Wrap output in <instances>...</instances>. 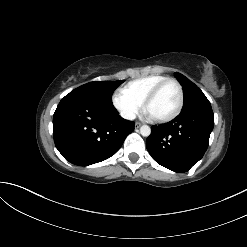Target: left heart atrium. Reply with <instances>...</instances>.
Returning <instances> with one entry per match:
<instances>
[{
	"instance_id": "1",
	"label": "left heart atrium",
	"mask_w": 247,
	"mask_h": 247,
	"mask_svg": "<svg viewBox=\"0 0 247 247\" xmlns=\"http://www.w3.org/2000/svg\"><path fill=\"white\" fill-rule=\"evenodd\" d=\"M143 114H144L145 118L148 119V120H153L154 119L153 115L147 109H145L143 111Z\"/></svg>"
}]
</instances>
